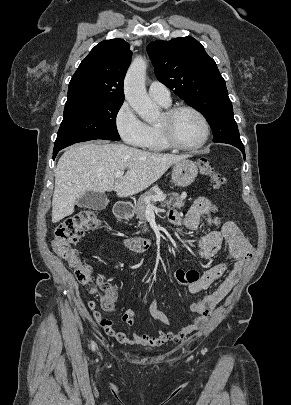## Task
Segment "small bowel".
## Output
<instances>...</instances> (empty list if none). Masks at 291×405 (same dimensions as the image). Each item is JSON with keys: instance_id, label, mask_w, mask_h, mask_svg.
<instances>
[{"instance_id": "obj_1", "label": "small bowel", "mask_w": 291, "mask_h": 405, "mask_svg": "<svg viewBox=\"0 0 291 405\" xmlns=\"http://www.w3.org/2000/svg\"><path fill=\"white\" fill-rule=\"evenodd\" d=\"M169 221L178 227L190 231L196 230L202 218H205L209 226H213L216 218L214 216L213 203L205 198H197L187 214L181 217L175 210H170L168 214ZM225 245L233 258V263L228 276L220 286L211 294L201 297L196 303L191 305V310L198 314L194 321L183 327L177 332L159 330L156 335L138 333L135 330L134 310L129 309L122 315V322L133 329L131 336L128 337L124 332L115 330L110 320L103 319L96 309L93 301L89 302V308L93 311L95 320L104 329L105 333L122 344H143V345H162L166 342H179L187 335L203 328L215 306L232 290L241 277V270L244 264L253 256V247L249 238L243 234L233 222H226L220 229H212L209 233L201 236L196 241V254L203 259H210L219 253ZM228 264H219L205 272L197 281L188 285L191 294L208 289L216 280H218L228 269ZM106 294L111 303L117 301L118 292L112 285H106ZM111 310V307L105 308ZM149 313L155 319H158L163 325H169V318L159 310L156 298H153L149 305Z\"/></svg>"}]
</instances>
